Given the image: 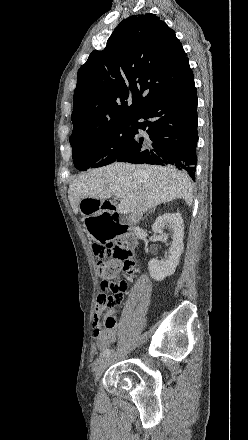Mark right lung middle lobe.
<instances>
[{"mask_svg": "<svg viewBox=\"0 0 248 440\" xmlns=\"http://www.w3.org/2000/svg\"><path fill=\"white\" fill-rule=\"evenodd\" d=\"M133 133L127 119L107 130L87 136H71L72 158L78 170L101 167L115 162L128 149Z\"/></svg>", "mask_w": 248, "mask_h": 440, "instance_id": "1", "label": "right lung middle lobe"}]
</instances>
